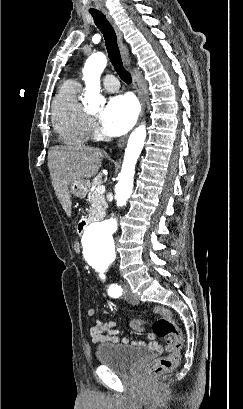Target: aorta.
I'll return each instance as SVG.
<instances>
[{
    "label": "aorta",
    "instance_id": "1",
    "mask_svg": "<svg viewBox=\"0 0 243 409\" xmlns=\"http://www.w3.org/2000/svg\"><path fill=\"white\" fill-rule=\"evenodd\" d=\"M107 65L103 53H94L87 60L83 68L85 81V99L90 106H99L103 102L100 88V75ZM146 126L136 128L130 135L124 154L119 181L116 185V204L118 207L126 205L133 190L135 165L143 149L146 139ZM117 229V220L111 217L103 222L89 224L82 236L83 251L86 257L111 258L115 255L113 234Z\"/></svg>",
    "mask_w": 243,
    "mask_h": 409
}]
</instances>
